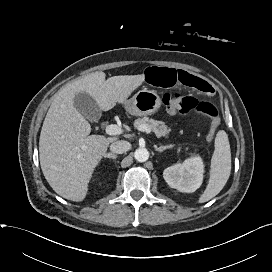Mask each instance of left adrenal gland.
Segmentation results:
<instances>
[{
  "label": "left adrenal gland",
  "instance_id": "obj_1",
  "mask_svg": "<svg viewBox=\"0 0 272 272\" xmlns=\"http://www.w3.org/2000/svg\"><path fill=\"white\" fill-rule=\"evenodd\" d=\"M155 147V150L158 151V152H162L166 149H169V148H172L173 145H167V146H160V147H157L156 145L154 146Z\"/></svg>",
  "mask_w": 272,
  "mask_h": 272
}]
</instances>
